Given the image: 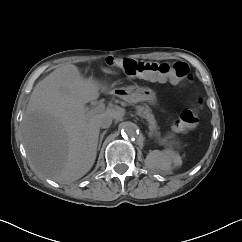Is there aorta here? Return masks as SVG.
Wrapping results in <instances>:
<instances>
[{
    "mask_svg": "<svg viewBox=\"0 0 242 242\" xmlns=\"http://www.w3.org/2000/svg\"><path fill=\"white\" fill-rule=\"evenodd\" d=\"M122 132L129 138H135L139 134L138 127L133 122H126L122 128Z\"/></svg>",
    "mask_w": 242,
    "mask_h": 242,
    "instance_id": "obj_1",
    "label": "aorta"
}]
</instances>
